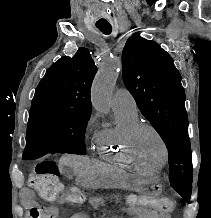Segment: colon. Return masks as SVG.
<instances>
[{
  "mask_svg": "<svg viewBox=\"0 0 211 218\" xmlns=\"http://www.w3.org/2000/svg\"><path fill=\"white\" fill-rule=\"evenodd\" d=\"M58 176L59 170L56 164L49 159H43L34 167L29 175L28 183L43 200L48 202L68 201L79 203L85 200L84 194L78 189L66 192ZM126 201L131 206L153 208L161 213H167L173 209V202L168 198L130 194L126 197ZM30 215L33 218H38L40 211L34 208L30 211Z\"/></svg>",
  "mask_w": 211,
  "mask_h": 218,
  "instance_id": "colon-1",
  "label": "colon"
}]
</instances>
